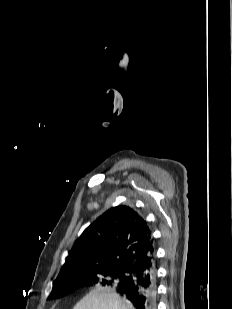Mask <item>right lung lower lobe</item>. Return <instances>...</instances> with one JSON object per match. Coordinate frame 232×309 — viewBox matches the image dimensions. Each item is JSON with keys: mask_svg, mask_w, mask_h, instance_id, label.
Masks as SVG:
<instances>
[{"mask_svg": "<svg viewBox=\"0 0 232 309\" xmlns=\"http://www.w3.org/2000/svg\"><path fill=\"white\" fill-rule=\"evenodd\" d=\"M137 309L157 308L155 256L136 261L127 270V280L116 287Z\"/></svg>", "mask_w": 232, "mask_h": 309, "instance_id": "right-lung-lower-lobe-1", "label": "right lung lower lobe"}]
</instances>
